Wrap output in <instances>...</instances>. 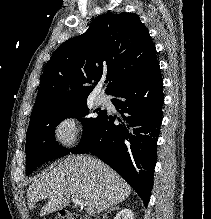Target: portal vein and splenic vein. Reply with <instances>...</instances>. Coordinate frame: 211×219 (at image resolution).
Here are the masks:
<instances>
[{
    "mask_svg": "<svg viewBox=\"0 0 211 219\" xmlns=\"http://www.w3.org/2000/svg\"><path fill=\"white\" fill-rule=\"evenodd\" d=\"M72 201L79 206H83L84 202L78 195H72Z\"/></svg>",
    "mask_w": 211,
    "mask_h": 219,
    "instance_id": "18ae733b",
    "label": "portal vein and splenic vein"
}]
</instances>
